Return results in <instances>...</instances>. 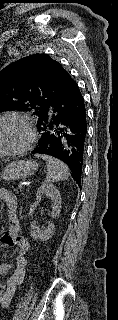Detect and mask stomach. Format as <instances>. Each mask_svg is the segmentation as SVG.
I'll list each match as a JSON object with an SVG mask.
<instances>
[{
  "instance_id": "0dacf381",
  "label": "stomach",
  "mask_w": 118,
  "mask_h": 320,
  "mask_svg": "<svg viewBox=\"0 0 118 320\" xmlns=\"http://www.w3.org/2000/svg\"><path fill=\"white\" fill-rule=\"evenodd\" d=\"M38 169L39 163L33 159L11 161L0 172V179L7 181L26 179L34 175Z\"/></svg>"
}]
</instances>
